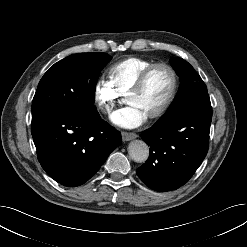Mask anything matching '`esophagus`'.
<instances>
[{"instance_id": "1", "label": "esophagus", "mask_w": 247, "mask_h": 247, "mask_svg": "<svg viewBox=\"0 0 247 247\" xmlns=\"http://www.w3.org/2000/svg\"><path fill=\"white\" fill-rule=\"evenodd\" d=\"M121 135L124 141H130L132 139L137 138V134L132 133V132H122Z\"/></svg>"}]
</instances>
